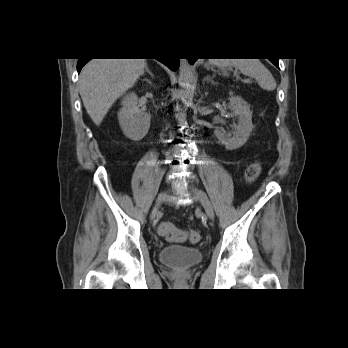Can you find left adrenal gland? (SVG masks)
Instances as JSON below:
<instances>
[{
	"mask_svg": "<svg viewBox=\"0 0 348 348\" xmlns=\"http://www.w3.org/2000/svg\"><path fill=\"white\" fill-rule=\"evenodd\" d=\"M207 81V82H211L212 84H214L215 82L213 81V79L207 75L205 78H204V82Z\"/></svg>",
	"mask_w": 348,
	"mask_h": 348,
	"instance_id": "obj_1",
	"label": "left adrenal gland"
}]
</instances>
